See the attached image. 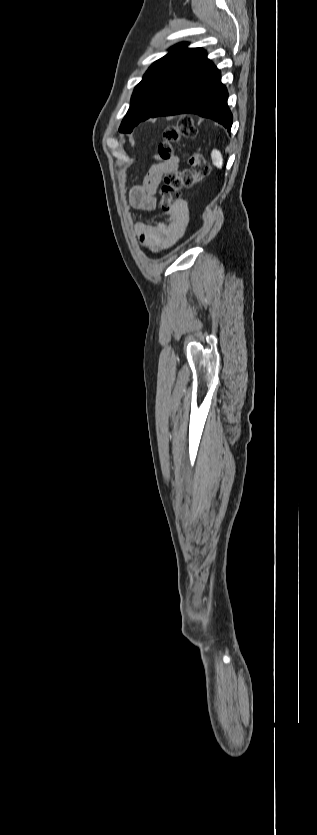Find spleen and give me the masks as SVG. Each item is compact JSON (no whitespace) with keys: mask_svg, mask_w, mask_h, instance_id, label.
<instances>
[{"mask_svg":"<svg viewBox=\"0 0 317 835\" xmlns=\"http://www.w3.org/2000/svg\"><path fill=\"white\" fill-rule=\"evenodd\" d=\"M211 158H212L213 164L217 168L221 169L222 166H223V156H222L221 152L217 149H213L212 152H211Z\"/></svg>","mask_w":317,"mask_h":835,"instance_id":"spleen-1","label":"spleen"}]
</instances>
